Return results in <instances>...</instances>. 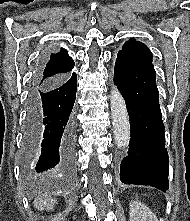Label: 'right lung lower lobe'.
<instances>
[{
  "label": "right lung lower lobe",
  "instance_id": "98d812e1",
  "mask_svg": "<svg viewBox=\"0 0 190 221\" xmlns=\"http://www.w3.org/2000/svg\"><path fill=\"white\" fill-rule=\"evenodd\" d=\"M34 77L28 96L24 135V162L34 173L68 169L75 158L77 77L73 73L61 81L38 83Z\"/></svg>",
  "mask_w": 190,
  "mask_h": 221
}]
</instances>
